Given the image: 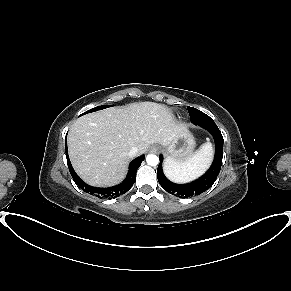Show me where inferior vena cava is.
Masks as SVG:
<instances>
[{
  "mask_svg": "<svg viewBox=\"0 0 291 291\" xmlns=\"http://www.w3.org/2000/svg\"><path fill=\"white\" fill-rule=\"evenodd\" d=\"M138 153V148L137 147H132L129 152H128V156L130 158H133L134 156H136Z\"/></svg>",
  "mask_w": 291,
  "mask_h": 291,
  "instance_id": "obj_1",
  "label": "inferior vena cava"
}]
</instances>
